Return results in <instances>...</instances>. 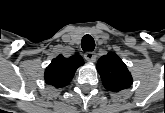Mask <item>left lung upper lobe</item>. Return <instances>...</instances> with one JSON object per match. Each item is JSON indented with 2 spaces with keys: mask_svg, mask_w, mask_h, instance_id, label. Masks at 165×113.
Instances as JSON below:
<instances>
[{
  "mask_svg": "<svg viewBox=\"0 0 165 113\" xmlns=\"http://www.w3.org/2000/svg\"><path fill=\"white\" fill-rule=\"evenodd\" d=\"M116 64L117 66H115V68L111 67V68H114L113 71H111V73H110V70H111L110 69L106 71L104 74H102V79H103L104 84L107 83L108 87L110 88L112 87L113 89L115 88L119 89L123 87L124 85H121V81H122L121 78L123 79V81H125L123 77L127 76L124 70V66L118 61H116Z\"/></svg>",
  "mask_w": 165,
  "mask_h": 113,
  "instance_id": "left-lung-upper-lobe-1",
  "label": "left lung upper lobe"
}]
</instances>
